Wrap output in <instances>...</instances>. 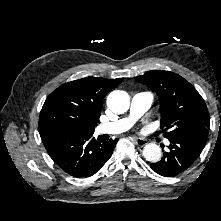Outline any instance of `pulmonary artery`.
Here are the masks:
<instances>
[{
  "label": "pulmonary artery",
  "instance_id": "pulmonary-artery-1",
  "mask_svg": "<svg viewBox=\"0 0 221 221\" xmlns=\"http://www.w3.org/2000/svg\"><path fill=\"white\" fill-rule=\"evenodd\" d=\"M153 102V95L148 91L138 92L133 95L130 104V111L127 117L100 124L98 133L100 134H119L130 129L135 121L143 116Z\"/></svg>",
  "mask_w": 221,
  "mask_h": 221
}]
</instances>
